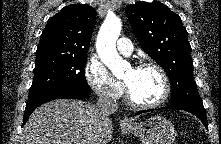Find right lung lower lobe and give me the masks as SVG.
<instances>
[{
	"instance_id": "right-lung-lower-lobe-1",
	"label": "right lung lower lobe",
	"mask_w": 221,
	"mask_h": 144,
	"mask_svg": "<svg viewBox=\"0 0 221 144\" xmlns=\"http://www.w3.org/2000/svg\"><path fill=\"white\" fill-rule=\"evenodd\" d=\"M90 94V90H83V89H75V88H60L53 90L49 93L44 94L36 101L31 104L26 105V109L24 112V119L23 124H25L31 115V113L40 105L49 102L55 99H81Z\"/></svg>"
}]
</instances>
